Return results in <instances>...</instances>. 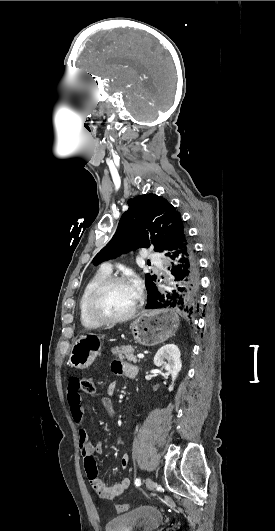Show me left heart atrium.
I'll return each mask as SVG.
<instances>
[{"label": "left heart atrium", "mask_w": 275, "mask_h": 531, "mask_svg": "<svg viewBox=\"0 0 275 531\" xmlns=\"http://www.w3.org/2000/svg\"><path fill=\"white\" fill-rule=\"evenodd\" d=\"M130 284L132 285L133 289L136 292L139 290L140 283H139V280L135 276L131 279Z\"/></svg>", "instance_id": "1"}]
</instances>
